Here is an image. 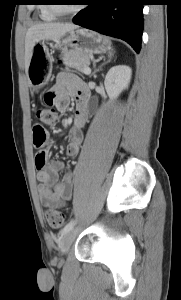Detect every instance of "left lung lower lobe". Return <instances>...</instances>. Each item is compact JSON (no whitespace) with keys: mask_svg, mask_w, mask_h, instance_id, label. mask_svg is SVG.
I'll return each instance as SVG.
<instances>
[{"mask_svg":"<svg viewBox=\"0 0 181 300\" xmlns=\"http://www.w3.org/2000/svg\"><path fill=\"white\" fill-rule=\"evenodd\" d=\"M145 0H88L73 19L75 24L122 39L139 53Z\"/></svg>","mask_w":181,"mask_h":300,"instance_id":"left-lung-lower-lobe-1","label":"left lung lower lobe"}]
</instances>
